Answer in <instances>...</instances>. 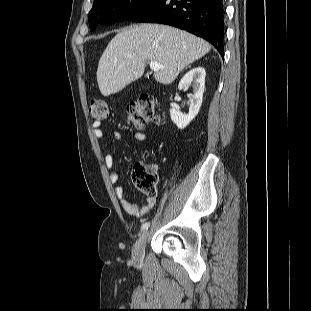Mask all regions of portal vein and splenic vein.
<instances>
[{"instance_id": "portal-vein-and-splenic-vein-1", "label": "portal vein and splenic vein", "mask_w": 311, "mask_h": 311, "mask_svg": "<svg viewBox=\"0 0 311 311\" xmlns=\"http://www.w3.org/2000/svg\"><path fill=\"white\" fill-rule=\"evenodd\" d=\"M150 68L154 71H157L159 69H164V66L158 64L157 62L151 61L150 62Z\"/></svg>"}]
</instances>
